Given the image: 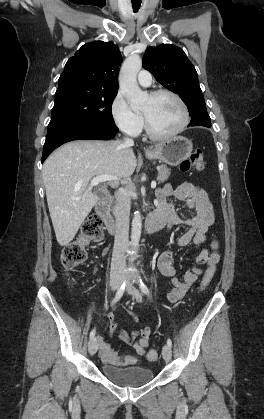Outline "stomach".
<instances>
[{
  "mask_svg": "<svg viewBox=\"0 0 264 419\" xmlns=\"http://www.w3.org/2000/svg\"><path fill=\"white\" fill-rule=\"evenodd\" d=\"M193 149L191 140L183 136H175L159 144L147 153L150 159H159L166 164L176 166L189 157Z\"/></svg>",
  "mask_w": 264,
  "mask_h": 419,
  "instance_id": "1",
  "label": "stomach"
}]
</instances>
